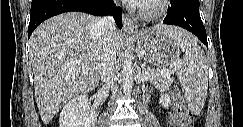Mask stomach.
Instances as JSON below:
<instances>
[{
    "label": "stomach",
    "mask_w": 243,
    "mask_h": 127,
    "mask_svg": "<svg viewBox=\"0 0 243 127\" xmlns=\"http://www.w3.org/2000/svg\"><path fill=\"white\" fill-rule=\"evenodd\" d=\"M133 40L138 54L158 68L173 66L179 56V48L166 26L142 30L133 36Z\"/></svg>",
    "instance_id": "1"
}]
</instances>
